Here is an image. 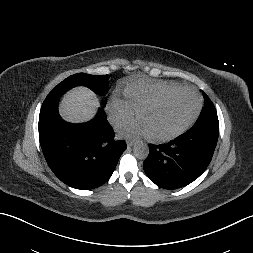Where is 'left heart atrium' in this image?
<instances>
[{"instance_id": "1", "label": "left heart atrium", "mask_w": 253, "mask_h": 253, "mask_svg": "<svg viewBox=\"0 0 253 253\" xmlns=\"http://www.w3.org/2000/svg\"><path fill=\"white\" fill-rule=\"evenodd\" d=\"M121 134L125 136H149V130L145 123L138 119L137 121L122 124L119 126Z\"/></svg>"}]
</instances>
